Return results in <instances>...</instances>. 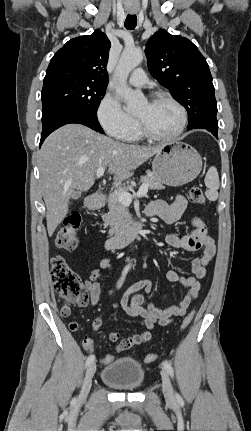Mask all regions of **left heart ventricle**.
I'll use <instances>...</instances> for the list:
<instances>
[{"label":"left heart ventricle","mask_w":251,"mask_h":431,"mask_svg":"<svg viewBox=\"0 0 251 431\" xmlns=\"http://www.w3.org/2000/svg\"><path fill=\"white\" fill-rule=\"evenodd\" d=\"M147 126V128L158 135H168L174 132L180 123V112L170 102H143L135 111Z\"/></svg>","instance_id":"1"}]
</instances>
